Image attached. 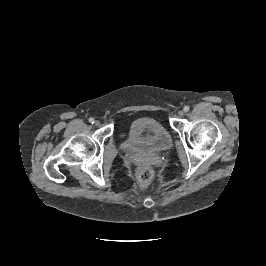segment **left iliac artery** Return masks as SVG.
<instances>
[{"instance_id":"1","label":"left iliac artery","mask_w":266,"mask_h":266,"mask_svg":"<svg viewBox=\"0 0 266 266\" xmlns=\"http://www.w3.org/2000/svg\"><path fill=\"white\" fill-rule=\"evenodd\" d=\"M189 106H185L184 108H183V110L185 111V112H188L189 111Z\"/></svg>"}]
</instances>
